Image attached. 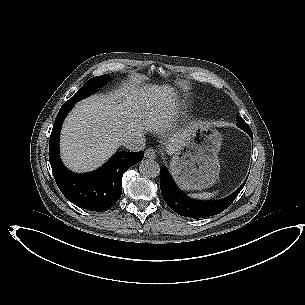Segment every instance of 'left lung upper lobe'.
Instances as JSON below:
<instances>
[{
    "label": "left lung upper lobe",
    "instance_id": "5c2ea615",
    "mask_svg": "<svg viewBox=\"0 0 305 305\" xmlns=\"http://www.w3.org/2000/svg\"><path fill=\"white\" fill-rule=\"evenodd\" d=\"M236 119H237V126L239 128H241L242 130H244L246 133H248L250 137H253L252 131H251L249 125L241 117H239L238 115L236 116ZM195 208H198V207H195ZM193 213L194 212H192V214ZM190 218H192V217H190Z\"/></svg>",
    "mask_w": 305,
    "mask_h": 305
}]
</instances>
